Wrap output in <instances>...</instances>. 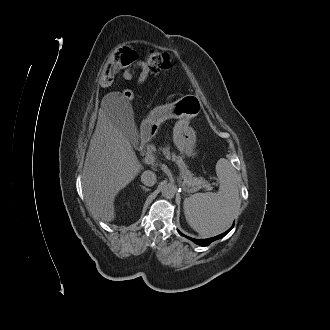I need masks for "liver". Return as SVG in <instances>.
I'll use <instances>...</instances> for the list:
<instances>
[{
  "label": "liver",
  "instance_id": "1",
  "mask_svg": "<svg viewBox=\"0 0 330 330\" xmlns=\"http://www.w3.org/2000/svg\"><path fill=\"white\" fill-rule=\"evenodd\" d=\"M149 121L142 122V135L147 131ZM118 123L114 107L103 104L83 168L82 188L86 203L91 212L105 222L115 218L117 193L143 168Z\"/></svg>",
  "mask_w": 330,
  "mask_h": 330
}]
</instances>
